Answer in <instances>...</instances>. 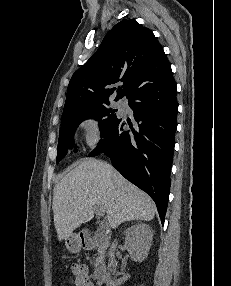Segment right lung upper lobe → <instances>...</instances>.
Instances as JSON below:
<instances>
[{
	"mask_svg": "<svg viewBox=\"0 0 231 286\" xmlns=\"http://www.w3.org/2000/svg\"><path fill=\"white\" fill-rule=\"evenodd\" d=\"M171 72L154 34L135 20H122L104 37L97 52L71 78L62 116L108 102L111 84L123 82L116 100L139 81Z\"/></svg>",
	"mask_w": 231,
	"mask_h": 286,
	"instance_id": "1",
	"label": "right lung upper lobe"
}]
</instances>
